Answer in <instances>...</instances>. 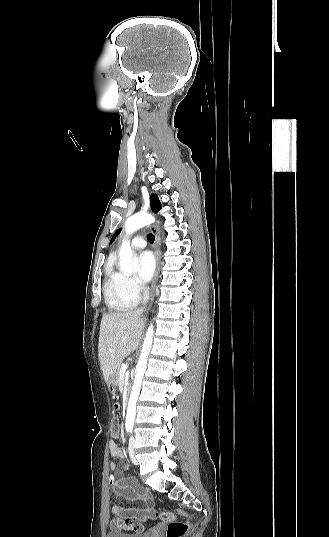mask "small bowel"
Here are the masks:
<instances>
[{
    "instance_id": "obj_1",
    "label": "small bowel",
    "mask_w": 329,
    "mask_h": 537,
    "mask_svg": "<svg viewBox=\"0 0 329 537\" xmlns=\"http://www.w3.org/2000/svg\"><path fill=\"white\" fill-rule=\"evenodd\" d=\"M120 408L121 405L116 403L112 412L117 414ZM109 450L113 458H123V451L115 442H110ZM126 468L124 463L119 467L115 463L110 464L109 484L113 487V493L109 496V503L113 507H119V513L127 520L126 524L121 520H112L111 527L140 531L144 527L143 523L154 520L157 513L152 506L149 490L140 486L134 478L127 477ZM130 503L134 505L129 506Z\"/></svg>"
}]
</instances>
